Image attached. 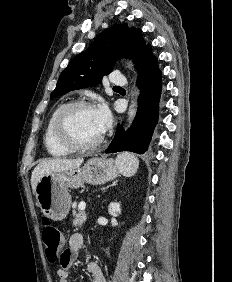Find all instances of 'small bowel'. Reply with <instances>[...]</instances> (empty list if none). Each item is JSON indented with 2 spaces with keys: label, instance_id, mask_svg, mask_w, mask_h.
I'll return each mask as SVG.
<instances>
[{
  "label": "small bowel",
  "instance_id": "small-bowel-1",
  "mask_svg": "<svg viewBox=\"0 0 232 282\" xmlns=\"http://www.w3.org/2000/svg\"><path fill=\"white\" fill-rule=\"evenodd\" d=\"M84 245V236L81 233H74L69 239V247L60 258V265L57 269V278L59 282H69L73 279L72 263L78 256ZM88 272L92 275L93 282H106V279L98 266L93 261L86 264Z\"/></svg>",
  "mask_w": 232,
  "mask_h": 282
}]
</instances>
